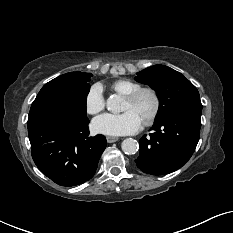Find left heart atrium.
I'll list each match as a JSON object with an SVG mask.
<instances>
[{
	"label": "left heart atrium",
	"mask_w": 233,
	"mask_h": 233,
	"mask_svg": "<svg viewBox=\"0 0 233 233\" xmlns=\"http://www.w3.org/2000/svg\"><path fill=\"white\" fill-rule=\"evenodd\" d=\"M143 121L132 110L121 114L105 113L96 117L92 122V129L99 134L121 136L137 132Z\"/></svg>",
	"instance_id": "39dd6f15"
}]
</instances>
